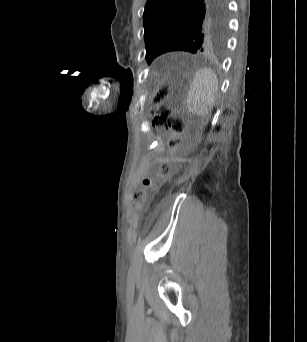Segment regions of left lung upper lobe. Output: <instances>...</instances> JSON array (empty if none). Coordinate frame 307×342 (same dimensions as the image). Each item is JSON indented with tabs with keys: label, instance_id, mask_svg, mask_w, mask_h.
<instances>
[{
	"label": "left lung upper lobe",
	"instance_id": "1",
	"mask_svg": "<svg viewBox=\"0 0 307 342\" xmlns=\"http://www.w3.org/2000/svg\"><path fill=\"white\" fill-rule=\"evenodd\" d=\"M143 21L148 63L169 51L202 55L225 45V0H148Z\"/></svg>",
	"mask_w": 307,
	"mask_h": 342
}]
</instances>
